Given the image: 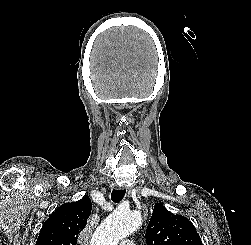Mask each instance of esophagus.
<instances>
[{
    "label": "esophagus",
    "instance_id": "1",
    "mask_svg": "<svg viewBox=\"0 0 251 245\" xmlns=\"http://www.w3.org/2000/svg\"><path fill=\"white\" fill-rule=\"evenodd\" d=\"M125 189H126L127 195L130 196L132 193V188L130 186H126Z\"/></svg>",
    "mask_w": 251,
    "mask_h": 245
}]
</instances>
